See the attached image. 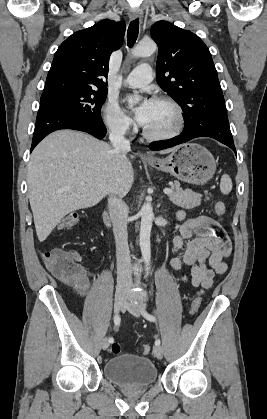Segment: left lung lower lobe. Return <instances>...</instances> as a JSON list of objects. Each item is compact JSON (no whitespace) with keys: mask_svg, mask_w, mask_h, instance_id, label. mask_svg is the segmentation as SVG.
I'll use <instances>...</instances> for the list:
<instances>
[{"mask_svg":"<svg viewBox=\"0 0 267 419\" xmlns=\"http://www.w3.org/2000/svg\"><path fill=\"white\" fill-rule=\"evenodd\" d=\"M197 137H211L230 147L235 153L227 112L209 111L190 123L185 124L183 132L171 139L152 142L149 148L155 151L170 148Z\"/></svg>","mask_w":267,"mask_h":419,"instance_id":"1","label":"left lung lower lobe"}]
</instances>
